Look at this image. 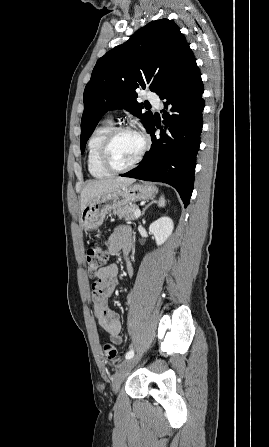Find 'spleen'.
Here are the masks:
<instances>
[{"label": "spleen", "mask_w": 269, "mask_h": 447, "mask_svg": "<svg viewBox=\"0 0 269 447\" xmlns=\"http://www.w3.org/2000/svg\"><path fill=\"white\" fill-rule=\"evenodd\" d=\"M165 204H166V200H165V198H163V196H161V198L158 202L159 208H163V206H165Z\"/></svg>", "instance_id": "spleen-1"}]
</instances>
